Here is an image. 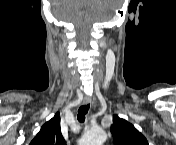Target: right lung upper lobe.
Segmentation results:
<instances>
[{
	"instance_id": "right-lung-upper-lobe-1",
	"label": "right lung upper lobe",
	"mask_w": 176,
	"mask_h": 145,
	"mask_svg": "<svg viewBox=\"0 0 176 145\" xmlns=\"http://www.w3.org/2000/svg\"><path fill=\"white\" fill-rule=\"evenodd\" d=\"M30 145H66L61 134L59 112L41 127Z\"/></svg>"
}]
</instances>
